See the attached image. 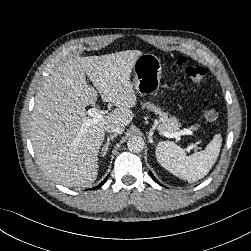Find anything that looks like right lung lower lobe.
Masks as SVG:
<instances>
[{
	"label": "right lung lower lobe",
	"instance_id": "98d812e1",
	"mask_svg": "<svg viewBox=\"0 0 251 251\" xmlns=\"http://www.w3.org/2000/svg\"><path fill=\"white\" fill-rule=\"evenodd\" d=\"M106 179H107V178H106ZM106 179H105V180H106ZM105 180H104V181H105ZM104 181H103L102 183H100L97 187L101 186V185L104 183ZM95 188H96V187H95ZM95 188H94V189H95Z\"/></svg>",
	"mask_w": 251,
	"mask_h": 251
}]
</instances>
